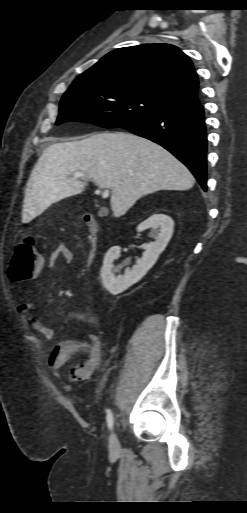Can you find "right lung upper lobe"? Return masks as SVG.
Listing matches in <instances>:
<instances>
[{
  "mask_svg": "<svg viewBox=\"0 0 247 513\" xmlns=\"http://www.w3.org/2000/svg\"><path fill=\"white\" fill-rule=\"evenodd\" d=\"M74 83L83 87L120 88L154 98L168 107L199 101L193 63L177 47L144 44L106 54Z\"/></svg>",
  "mask_w": 247,
  "mask_h": 513,
  "instance_id": "1",
  "label": "right lung upper lobe"
}]
</instances>
